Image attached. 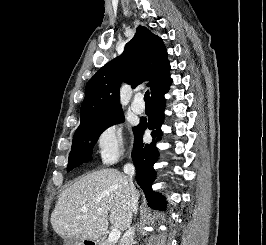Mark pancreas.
Instances as JSON below:
<instances>
[{"label":"pancreas","instance_id":"pancreas-1","mask_svg":"<svg viewBox=\"0 0 266 245\" xmlns=\"http://www.w3.org/2000/svg\"><path fill=\"white\" fill-rule=\"evenodd\" d=\"M101 245H111V243H108V241H102Z\"/></svg>","mask_w":266,"mask_h":245}]
</instances>
